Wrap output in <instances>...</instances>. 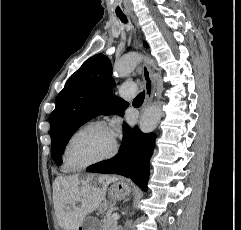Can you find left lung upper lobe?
<instances>
[{"instance_id":"obj_1","label":"left lung upper lobe","mask_w":241,"mask_h":230,"mask_svg":"<svg viewBox=\"0 0 241 230\" xmlns=\"http://www.w3.org/2000/svg\"><path fill=\"white\" fill-rule=\"evenodd\" d=\"M111 61L97 54L83 63L59 93L56 107L50 116L51 155L57 165L73 133L99 114L123 116L127 105L113 96L115 86L111 77Z\"/></svg>"}]
</instances>
